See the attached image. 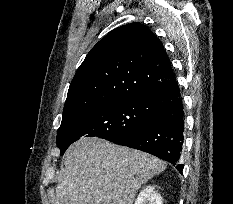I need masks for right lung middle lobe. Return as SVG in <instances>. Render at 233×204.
<instances>
[{
    "label": "right lung middle lobe",
    "instance_id": "obj_1",
    "mask_svg": "<svg viewBox=\"0 0 233 204\" xmlns=\"http://www.w3.org/2000/svg\"><path fill=\"white\" fill-rule=\"evenodd\" d=\"M156 119L151 96H138L114 101L72 119L58 130L56 143L61 155L81 137L96 136L113 140L134 132Z\"/></svg>",
    "mask_w": 233,
    "mask_h": 204
}]
</instances>
